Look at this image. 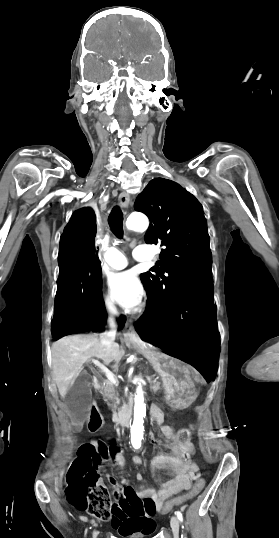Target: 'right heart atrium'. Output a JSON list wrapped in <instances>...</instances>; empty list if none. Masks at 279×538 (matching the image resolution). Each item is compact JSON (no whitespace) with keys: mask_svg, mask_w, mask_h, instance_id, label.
I'll return each instance as SVG.
<instances>
[{"mask_svg":"<svg viewBox=\"0 0 279 538\" xmlns=\"http://www.w3.org/2000/svg\"><path fill=\"white\" fill-rule=\"evenodd\" d=\"M141 233V230L138 231ZM99 310L106 319H113L118 315V308L113 297L105 291L99 294Z\"/></svg>","mask_w":279,"mask_h":538,"instance_id":"d8ad5b80","label":"right heart atrium"}]
</instances>
